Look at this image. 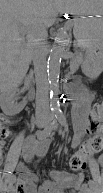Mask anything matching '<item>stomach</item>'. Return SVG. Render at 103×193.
<instances>
[{
    "instance_id": "obj_1",
    "label": "stomach",
    "mask_w": 103,
    "mask_h": 193,
    "mask_svg": "<svg viewBox=\"0 0 103 193\" xmlns=\"http://www.w3.org/2000/svg\"><path fill=\"white\" fill-rule=\"evenodd\" d=\"M72 14L81 19L75 31L80 39L79 45L86 49L88 56L93 51V41L89 36L92 31V25L95 21H100L103 10V0H74L72 3Z\"/></svg>"
}]
</instances>
